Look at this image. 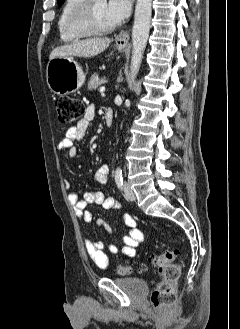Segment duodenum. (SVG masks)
<instances>
[{
	"label": "duodenum",
	"mask_w": 240,
	"mask_h": 329,
	"mask_svg": "<svg viewBox=\"0 0 240 329\" xmlns=\"http://www.w3.org/2000/svg\"><path fill=\"white\" fill-rule=\"evenodd\" d=\"M105 120L108 127H111L113 124V111L107 106L105 107Z\"/></svg>",
	"instance_id": "duodenum-1"
}]
</instances>
